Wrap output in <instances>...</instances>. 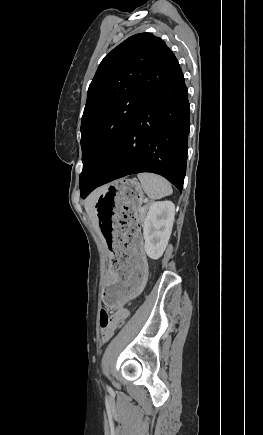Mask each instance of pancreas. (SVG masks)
<instances>
[{
	"mask_svg": "<svg viewBox=\"0 0 263 435\" xmlns=\"http://www.w3.org/2000/svg\"><path fill=\"white\" fill-rule=\"evenodd\" d=\"M148 206L144 207V211L140 212L139 211V215H138V220L143 223L145 216H146V212H147Z\"/></svg>",
	"mask_w": 263,
	"mask_h": 435,
	"instance_id": "cf45deb5",
	"label": "pancreas"
}]
</instances>
